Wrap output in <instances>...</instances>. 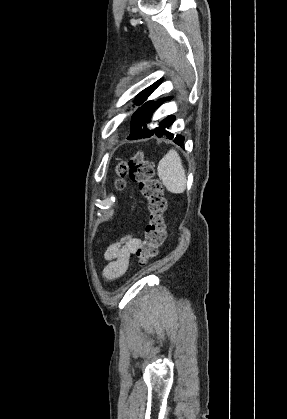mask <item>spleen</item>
Wrapping results in <instances>:
<instances>
[{"label": "spleen", "mask_w": 287, "mask_h": 419, "mask_svg": "<svg viewBox=\"0 0 287 419\" xmlns=\"http://www.w3.org/2000/svg\"><path fill=\"white\" fill-rule=\"evenodd\" d=\"M158 176L166 189L173 194L186 189V175L178 152L174 149L163 156L158 164Z\"/></svg>", "instance_id": "1"}]
</instances>
